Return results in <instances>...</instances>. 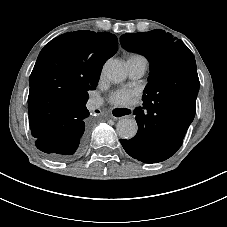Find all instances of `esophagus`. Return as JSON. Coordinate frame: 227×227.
<instances>
[{
	"label": "esophagus",
	"instance_id": "esophagus-1",
	"mask_svg": "<svg viewBox=\"0 0 227 227\" xmlns=\"http://www.w3.org/2000/svg\"><path fill=\"white\" fill-rule=\"evenodd\" d=\"M132 113H133V111L131 110V109H118V108H116V109H114L113 111H112V116L113 117H115V118H117V117H119V116H121L120 118H122V116H131L132 115Z\"/></svg>",
	"mask_w": 227,
	"mask_h": 227
}]
</instances>
